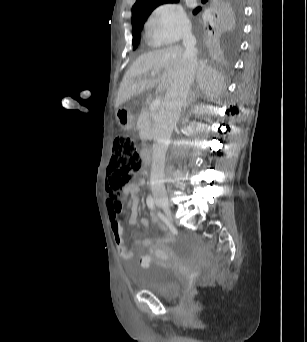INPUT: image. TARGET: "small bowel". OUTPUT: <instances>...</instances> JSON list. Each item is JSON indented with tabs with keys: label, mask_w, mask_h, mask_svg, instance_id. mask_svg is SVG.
<instances>
[{
	"label": "small bowel",
	"mask_w": 307,
	"mask_h": 342,
	"mask_svg": "<svg viewBox=\"0 0 307 342\" xmlns=\"http://www.w3.org/2000/svg\"><path fill=\"white\" fill-rule=\"evenodd\" d=\"M143 183V180H139L136 183L129 184L126 188L127 194L130 195V202L128 205L130 215H129V223L135 224L138 220L146 227L148 228V222L144 218H139V207H138V197L137 194L139 192V186ZM108 208V215L110 220V228L112 231L114 243L117 248L118 255L125 259L129 260L132 258L133 253L131 250L128 249L126 243H125V235H124V229L121 224V221L118 219L115 206H107ZM152 219L155 222H158V217L156 214H152ZM162 229H164L163 225H160ZM136 240V238H135ZM171 238L169 235L164 234L160 237H151L146 236V238L139 243V246L141 248H150L152 252H157L161 249H163L168 242H170ZM149 261V257L145 256L141 259V265L143 267L147 266Z\"/></svg>",
	"instance_id": "obj_1"
}]
</instances>
